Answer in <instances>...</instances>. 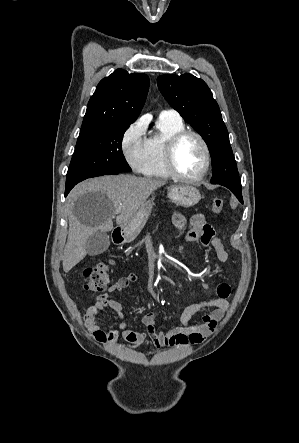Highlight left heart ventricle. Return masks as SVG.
Listing matches in <instances>:
<instances>
[{"instance_id":"1","label":"left heart ventricle","mask_w":299,"mask_h":443,"mask_svg":"<svg viewBox=\"0 0 299 443\" xmlns=\"http://www.w3.org/2000/svg\"><path fill=\"white\" fill-rule=\"evenodd\" d=\"M175 162L185 176H196L202 171L204 151L197 138L188 136L182 140L176 149Z\"/></svg>"}]
</instances>
